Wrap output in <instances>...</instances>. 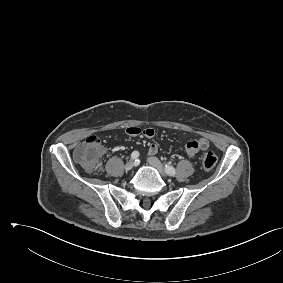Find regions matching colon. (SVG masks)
I'll return each instance as SVG.
<instances>
[{
    "mask_svg": "<svg viewBox=\"0 0 283 283\" xmlns=\"http://www.w3.org/2000/svg\"><path fill=\"white\" fill-rule=\"evenodd\" d=\"M101 138L98 135L89 136L81 143L74 152L75 159L89 171H97L101 156ZM217 163V156L207 151L201 159L202 167L205 170H211Z\"/></svg>",
    "mask_w": 283,
    "mask_h": 283,
    "instance_id": "5ec220e1",
    "label": "colon"
}]
</instances>
